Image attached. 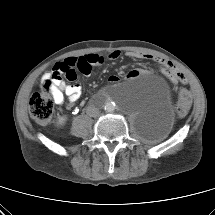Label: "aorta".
<instances>
[{"mask_svg":"<svg viewBox=\"0 0 215 215\" xmlns=\"http://www.w3.org/2000/svg\"><path fill=\"white\" fill-rule=\"evenodd\" d=\"M121 89H122V87H120V86H116V87H114L112 89V96H113V98L119 99V100H121L123 98V96L121 94V91H122ZM115 106H116L115 102L108 101L104 105V110L106 112H113L115 110Z\"/></svg>","mask_w":215,"mask_h":215,"instance_id":"aorta-1","label":"aorta"}]
</instances>
